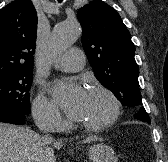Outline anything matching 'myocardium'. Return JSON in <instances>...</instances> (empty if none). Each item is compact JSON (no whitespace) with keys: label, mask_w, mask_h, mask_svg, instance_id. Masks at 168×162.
<instances>
[{"label":"myocardium","mask_w":168,"mask_h":162,"mask_svg":"<svg viewBox=\"0 0 168 162\" xmlns=\"http://www.w3.org/2000/svg\"><path fill=\"white\" fill-rule=\"evenodd\" d=\"M89 92H96L105 95L110 101L111 111L108 117L99 123L91 124V123L78 122V125L86 130L94 132L105 130L111 125H113L118 119L121 109L120 101L117 98V96L109 88L105 86L101 85L93 86Z\"/></svg>","instance_id":"obj_1"}]
</instances>
